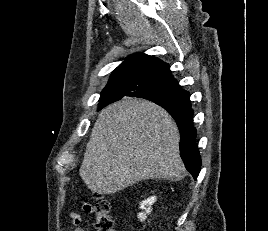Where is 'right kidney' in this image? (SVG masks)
Segmentation results:
<instances>
[{
	"label": "right kidney",
	"instance_id": "ca27d5eb",
	"mask_svg": "<svg viewBox=\"0 0 268 231\" xmlns=\"http://www.w3.org/2000/svg\"><path fill=\"white\" fill-rule=\"evenodd\" d=\"M155 202H156V197L152 196L148 198L147 200H144L140 203V208L142 210H145V212H141L138 214V218L140 219L141 222L144 221L146 219V215L151 212V206Z\"/></svg>",
	"mask_w": 268,
	"mask_h": 231
}]
</instances>
